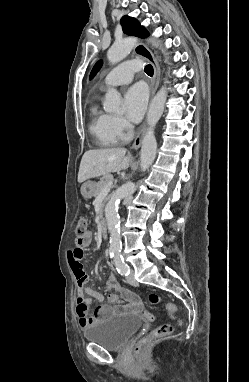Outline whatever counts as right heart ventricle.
I'll return each mask as SVG.
<instances>
[{
  "mask_svg": "<svg viewBox=\"0 0 249 382\" xmlns=\"http://www.w3.org/2000/svg\"><path fill=\"white\" fill-rule=\"evenodd\" d=\"M111 115L101 110L96 102L90 106V130L98 143L102 146H111L118 138L111 131Z\"/></svg>",
  "mask_w": 249,
  "mask_h": 382,
  "instance_id": "obj_1",
  "label": "right heart ventricle"
}]
</instances>
